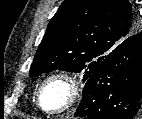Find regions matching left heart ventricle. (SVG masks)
Listing matches in <instances>:
<instances>
[{
    "instance_id": "1",
    "label": "left heart ventricle",
    "mask_w": 142,
    "mask_h": 119,
    "mask_svg": "<svg viewBox=\"0 0 142 119\" xmlns=\"http://www.w3.org/2000/svg\"><path fill=\"white\" fill-rule=\"evenodd\" d=\"M67 95V87L62 82H54L44 91L42 102L47 108H57L65 102Z\"/></svg>"
}]
</instances>
